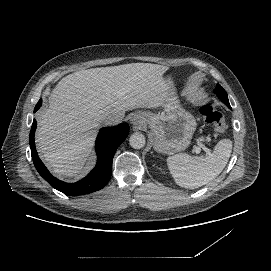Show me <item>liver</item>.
I'll use <instances>...</instances> for the list:
<instances>
[{
	"mask_svg": "<svg viewBox=\"0 0 271 271\" xmlns=\"http://www.w3.org/2000/svg\"><path fill=\"white\" fill-rule=\"evenodd\" d=\"M167 66L130 63L80 70L63 77L38 119L35 139L40 156L61 177H79L96 138V118L120 120L136 108L163 105L171 81Z\"/></svg>",
	"mask_w": 271,
	"mask_h": 271,
	"instance_id": "obj_1",
	"label": "liver"
}]
</instances>
